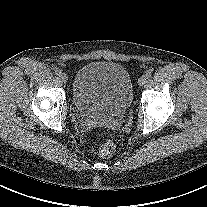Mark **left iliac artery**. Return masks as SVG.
<instances>
[{"label": "left iliac artery", "mask_w": 207, "mask_h": 207, "mask_svg": "<svg viewBox=\"0 0 207 207\" xmlns=\"http://www.w3.org/2000/svg\"><path fill=\"white\" fill-rule=\"evenodd\" d=\"M145 76H146V78H150L152 76V72L151 71H146Z\"/></svg>", "instance_id": "1"}]
</instances>
